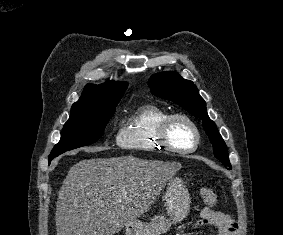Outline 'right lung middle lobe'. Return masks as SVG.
Masks as SVG:
<instances>
[{"label":"right lung middle lobe","instance_id":"dd1d6c3e","mask_svg":"<svg viewBox=\"0 0 283 235\" xmlns=\"http://www.w3.org/2000/svg\"><path fill=\"white\" fill-rule=\"evenodd\" d=\"M118 103L72 105L61 139L54 146L49 162L58 155L96 142L115 112Z\"/></svg>","mask_w":283,"mask_h":235}]
</instances>
